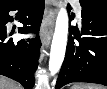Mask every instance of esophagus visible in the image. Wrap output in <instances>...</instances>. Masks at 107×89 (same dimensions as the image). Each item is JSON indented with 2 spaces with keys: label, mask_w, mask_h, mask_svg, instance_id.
<instances>
[{
  "label": "esophagus",
  "mask_w": 107,
  "mask_h": 89,
  "mask_svg": "<svg viewBox=\"0 0 107 89\" xmlns=\"http://www.w3.org/2000/svg\"><path fill=\"white\" fill-rule=\"evenodd\" d=\"M57 13V4L55 0H47V7L43 18L40 37L43 46H47L53 35L54 23Z\"/></svg>",
  "instance_id": "obj_1"
}]
</instances>
